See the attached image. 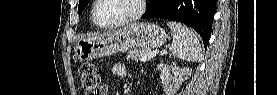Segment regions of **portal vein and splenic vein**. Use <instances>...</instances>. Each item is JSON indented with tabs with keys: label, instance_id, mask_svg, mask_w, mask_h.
Instances as JSON below:
<instances>
[{
	"label": "portal vein and splenic vein",
	"instance_id": "18ae733b",
	"mask_svg": "<svg viewBox=\"0 0 277 95\" xmlns=\"http://www.w3.org/2000/svg\"><path fill=\"white\" fill-rule=\"evenodd\" d=\"M157 53H158V51H156V50H155V51H152V52L148 53L147 55L143 56V57L140 59V61L146 62V61L150 60L151 58H153L154 56H156Z\"/></svg>",
	"mask_w": 277,
	"mask_h": 95
}]
</instances>
